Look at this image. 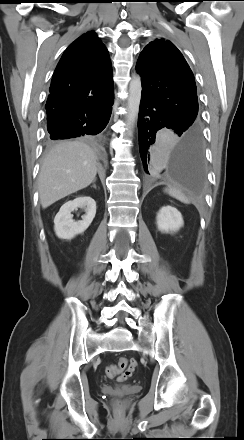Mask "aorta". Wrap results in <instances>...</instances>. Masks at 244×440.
<instances>
[{"label": "aorta", "mask_w": 244, "mask_h": 440, "mask_svg": "<svg viewBox=\"0 0 244 440\" xmlns=\"http://www.w3.org/2000/svg\"><path fill=\"white\" fill-rule=\"evenodd\" d=\"M141 80L139 76H133L129 85V96L127 101V134L131 135L134 128L141 100Z\"/></svg>", "instance_id": "aorta-1"}]
</instances>
